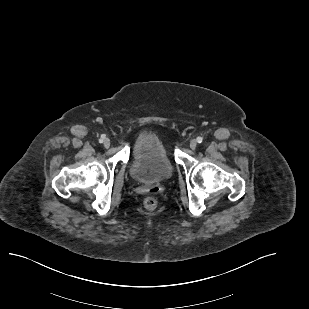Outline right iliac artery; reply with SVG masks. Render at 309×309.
<instances>
[{
	"instance_id": "right-iliac-artery-1",
	"label": "right iliac artery",
	"mask_w": 309,
	"mask_h": 309,
	"mask_svg": "<svg viewBox=\"0 0 309 309\" xmlns=\"http://www.w3.org/2000/svg\"><path fill=\"white\" fill-rule=\"evenodd\" d=\"M104 138H105V136L102 135L101 138L99 139V143H103Z\"/></svg>"
}]
</instances>
